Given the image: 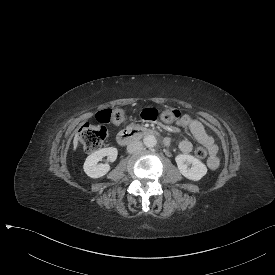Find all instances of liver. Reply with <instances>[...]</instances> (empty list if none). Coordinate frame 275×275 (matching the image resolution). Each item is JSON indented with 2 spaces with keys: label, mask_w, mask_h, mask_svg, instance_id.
Masks as SVG:
<instances>
[{
  "label": "liver",
  "mask_w": 275,
  "mask_h": 275,
  "mask_svg": "<svg viewBox=\"0 0 275 275\" xmlns=\"http://www.w3.org/2000/svg\"><path fill=\"white\" fill-rule=\"evenodd\" d=\"M78 135H75L74 140H73V146H74V150H76L77 145H78Z\"/></svg>",
  "instance_id": "6515ba94"
}]
</instances>
